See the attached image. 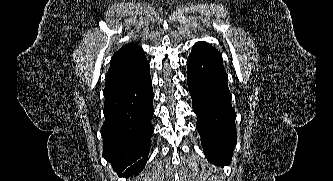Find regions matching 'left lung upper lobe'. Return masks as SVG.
<instances>
[{"mask_svg": "<svg viewBox=\"0 0 333 181\" xmlns=\"http://www.w3.org/2000/svg\"><path fill=\"white\" fill-rule=\"evenodd\" d=\"M195 46H198V47H200L202 49H205V50L209 51L210 53H212V54H214V55L222 58L221 54L215 48H213L212 46H210L206 42L196 43Z\"/></svg>", "mask_w": 333, "mask_h": 181, "instance_id": "1", "label": "left lung upper lobe"}]
</instances>
